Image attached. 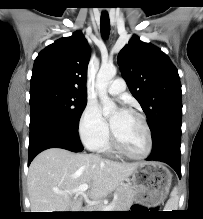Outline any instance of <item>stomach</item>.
<instances>
[{"label": "stomach", "mask_w": 203, "mask_h": 219, "mask_svg": "<svg viewBox=\"0 0 203 219\" xmlns=\"http://www.w3.org/2000/svg\"><path fill=\"white\" fill-rule=\"evenodd\" d=\"M135 198L157 206L164 201L170 190L172 174L159 162L139 163L132 173Z\"/></svg>", "instance_id": "0dacf381"}]
</instances>
